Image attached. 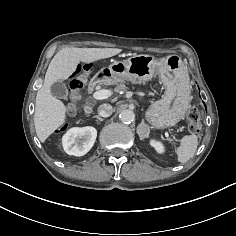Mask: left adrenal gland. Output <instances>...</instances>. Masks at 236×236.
Instances as JSON below:
<instances>
[{
	"mask_svg": "<svg viewBox=\"0 0 236 236\" xmlns=\"http://www.w3.org/2000/svg\"><path fill=\"white\" fill-rule=\"evenodd\" d=\"M143 127H148V126L144 123V120H142L141 124L137 127V133H138L139 136H141Z\"/></svg>",
	"mask_w": 236,
	"mask_h": 236,
	"instance_id": "a2214340",
	"label": "left adrenal gland"
}]
</instances>
